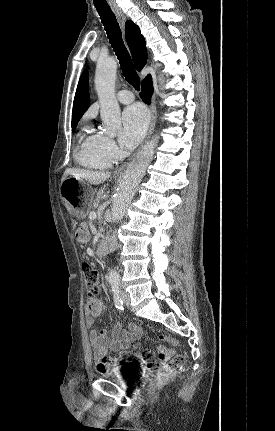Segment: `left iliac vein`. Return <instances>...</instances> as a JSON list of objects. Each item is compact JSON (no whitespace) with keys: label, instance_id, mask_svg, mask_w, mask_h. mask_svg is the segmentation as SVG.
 <instances>
[{"label":"left iliac vein","instance_id":"left-iliac-vein-1","mask_svg":"<svg viewBox=\"0 0 275 431\" xmlns=\"http://www.w3.org/2000/svg\"><path fill=\"white\" fill-rule=\"evenodd\" d=\"M122 299L126 306H130V295L127 292H122Z\"/></svg>","mask_w":275,"mask_h":431}]
</instances>
